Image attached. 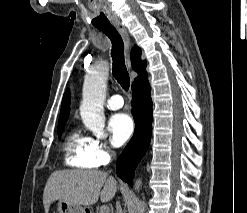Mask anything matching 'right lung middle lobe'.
I'll use <instances>...</instances> for the list:
<instances>
[{
    "label": "right lung middle lobe",
    "mask_w": 247,
    "mask_h": 213,
    "mask_svg": "<svg viewBox=\"0 0 247 213\" xmlns=\"http://www.w3.org/2000/svg\"><path fill=\"white\" fill-rule=\"evenodd\" d=\"M65 123L58 125V135H60L64 129Z\"/></svg>",
    "instance_id": "right-lung-middle-lobe-1"
}]
</instances>
